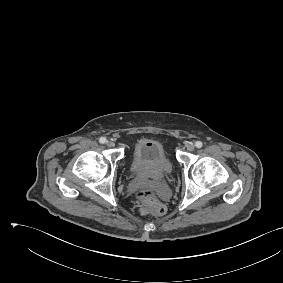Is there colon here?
Returning a JSON list of instances; mask_svg holds the SVG:
<instances>
[{
    "label": "colon",
    "instance_id": "obj_1",
    "mask_svg": "<svg viewBox=\"0 0 283 283\" xmlns=\"http://www.w3.org/2000/svg\"><path fill=\"white\" fill-rule=\"evenodd\" d=\"M136 198L140 204L141 214L154 216L165 214V205L157 199L153 191L147 189L140 190L137 192Z\"/></svg>",
    "mask_w": 283,
    "mask_h": 283
}]
</instances>
